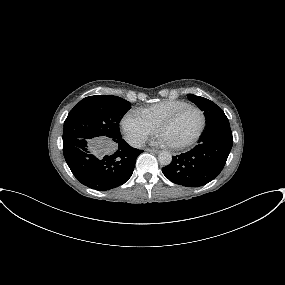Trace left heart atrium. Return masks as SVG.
I'll return each instance as SVG.
<instances>
[{"label": "left heart atrium", "mask_w": 285, "mask_h": 285, "mask_svg": "<svg viewBox=\"0 0 285 285\" xmlns=\"http://www.w3.org/2000/svg\"><path fill=\"white\" fill-rule=\"evenodd\" d=\"M158 140L161 144H164V145L168 144L167 141L162 136H160Z\"/></svg>", "instance_id": "1"}]
</instances>
